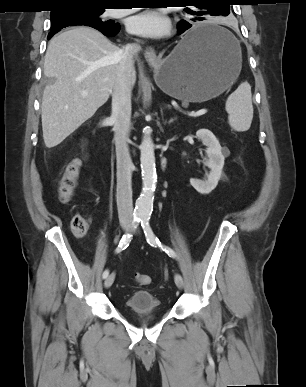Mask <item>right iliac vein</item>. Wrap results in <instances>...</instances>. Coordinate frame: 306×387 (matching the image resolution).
Segmentation results:
<instances>
[{
  "instance_id": "1",
  "label": "right iliac vein",
  "mask_w": 306,
  "mask_h": 387,
  "mask_svg": "<svg viewBox=\"0 0 306 387\" xmlns=\"http://www.w3.org/2000/svg\"><path fill=\"white\" fill-rule=\"evenodd\" d=\"M130 226H131V225H130V223H128V222L122 223V228H123L124 230H128V229L130 228ZM114 279H115V274H114V273L110 274V275L106 278V280H105V282H104L105 288H109V287L113 284Z\"/></svg>"
}]
</instances>
